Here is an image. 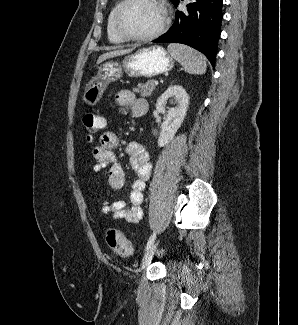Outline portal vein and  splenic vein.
Here are the masks:
<instances>
[{"label": "portal vein and splenic vein", "mask_w": 298, "mask_h": 325, "mask_svg": "<svg viewBox=\"0 0 298 325\" xmlns=\"http://www.w3.org/2000/svg\"><path fill=\"white\" fill-rule=\"evenodd\" d=\"M154 84H159L158 80H153Z\"/></svg>", "instance_id": "portal-vein-and-splenic-vein-1"}]
</instances>
